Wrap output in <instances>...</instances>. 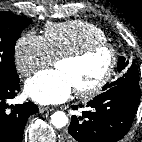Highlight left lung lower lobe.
Instances as JSON below:
<instances>
[{
	"label": "left lung lower lobe",
	"instance_id": "obj_1",
	"mask_svg": "<svg viewBox=\"0 0 142 142\" xmlns=\"http://www.w3.org/2000/svg\"><path fill=\"white\" fill-rule=\"evenodd\" d=\"M138 82L114 86L93 100L83 117L72 116L65 142H117L129 131L140 101ZM83 105H79L82 107ZM77 109L76 105L72 106Z\"/></svg>",
	"mask_w": 142,
	"mask_h": 142
}]
</instances>
